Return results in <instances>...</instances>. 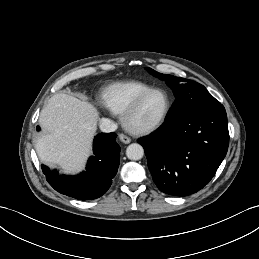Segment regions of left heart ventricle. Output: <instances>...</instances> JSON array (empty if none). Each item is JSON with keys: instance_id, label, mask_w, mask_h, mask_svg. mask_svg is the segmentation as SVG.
Segmentation results:
<instances>
[{"instance_id": "b2bd125f", "label": "left heart ventricle", "mask_w": 259, "mask_h": 259, "mask_svg": "<svg viewBox=\"0 0 259 259\" xmlns=\"http://www.w3.org/2000/svg\"><path fill=\"white\" fill-rule=\"evenodd\" d=\"M166 108V97L163 93L156 92L150 95L141 105L132 118L136 126L152 124L160 119Z\"/></svg>"}]
</instances>
